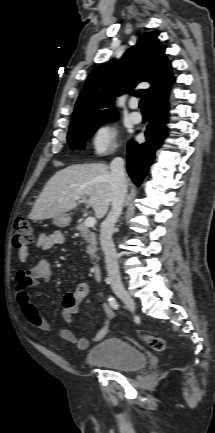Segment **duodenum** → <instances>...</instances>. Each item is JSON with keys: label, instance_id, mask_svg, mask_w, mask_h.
Masks as SVG:
<instances>
[{"label": "duodenum", "instance_id": "duodenum-1", "mask_svg": "<svg viewBox=\"0 0 215 433\" xmlns=\"http://www.w3.org/2000/svg\"><path fill=\"white\" fill-rule=\"evenodd\" d=\"M93 276L96 281L102 280V269L99 263H94L92 266Z\"/></svg>", "mask_w": 215, "mask_h": 433}]
</instances>
